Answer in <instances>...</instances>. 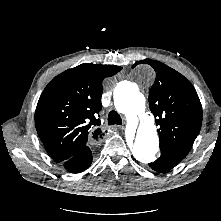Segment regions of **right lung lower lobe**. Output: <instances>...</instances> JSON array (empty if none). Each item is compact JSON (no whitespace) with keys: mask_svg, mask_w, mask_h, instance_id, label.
Returning <instances> with one entry per match:
<instances>
[{"mask_svg":"<svg viewBox=\"0 0 221 221\" xmlns=\"http://www.w3.org/2000/svg\"><path fill=\"white\" fill-rule=\"evenodd\" d=\"M92 159V151L90 147L87 146L73 157L62 162V164L68 172L79 173L91 165Z\"/></svg>","mask_w":221,"mask_h":221,"instance_id":"1","label":"right lung lower lobe"}]
</instances>
